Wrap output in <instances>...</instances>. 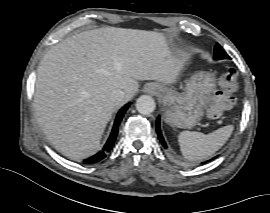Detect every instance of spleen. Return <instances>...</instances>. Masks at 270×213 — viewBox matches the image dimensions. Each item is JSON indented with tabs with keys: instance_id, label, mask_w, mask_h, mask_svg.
<instances>
[{
	"instance_id": "obj_1",
	"label": "spleen",
	"mask_w": 270,
	"mask_h": 213,
	"mask_svg": "<svg viewBox=\"0 0 270 213\" xmlns=\"http://www.w3.org/2000/svg\"><path fill=\"white\" fill-rule=\"evenodd\" d=\"M233 129V125H227L209 134L183 131L178 136L181 152L188 160H204L226 143Z\"/></svg>"
}]
</instances>
